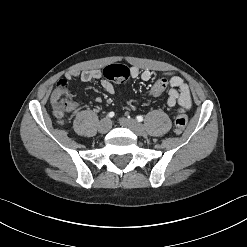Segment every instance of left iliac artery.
Segmentation results:
<instances>
[{
  "mask_svg": "<svg viewBox=\"0 0 247 247\" xmlns=\"http://www.w3.org/2000/svg\"><path fill=\"white\" fill-rule=\"evenodd\" d=\"M136 119H137L138 122H142L143 121V117L141 115H138L136 117Z\"/></svg>",
  "mask_w": 247,
  "mask_h": 247,
  "instance_id": "1",
  "label": "left iliac artery"
}]
</instances>
